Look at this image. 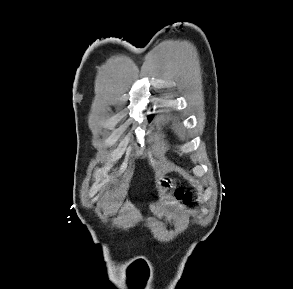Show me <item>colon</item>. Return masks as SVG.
<instances>
[{"label":"colon","mask_w":293,"mask_h":289,"mask_svg":"<svg viewBox=\"0 0 293 289\" xmlns=\"http://www.w3.org/2000/svg\"><path fill=\"white\" fill-rule=\"evenodd\" d=\"M176 199L183 205H189L191 203V195L186 192L183 188H178L175 191Z\"/></svg>","instance_id":"1"}]
</instances>
